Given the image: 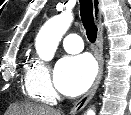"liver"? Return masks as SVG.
Wrapping results in <instances>:
<instances>
[{
  "label": "liver",
  "instance_id": "liver-1",
  "mask_svg": "<svg viewBox=\"0 0 131 115\" xmlns=\"http://www.w3.org/2000/svg\"><path fill=\"white\" fill-rule=\"evenodd\" d=\"M7 115H60V113L46 106L26 103L12 105Z\"/></svg>",
  "mask_w": 131,
  "mask_h": 115
}]
</instances>
